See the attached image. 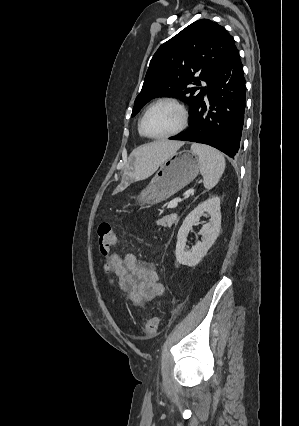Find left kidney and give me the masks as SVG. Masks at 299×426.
<instances>
[{"mask_svg": "<svg viewBox=\"0 0 299 426\" xmlns=\"http://www.w3.org/2000/svg\"><path fill=\"white\" fill-rule=\"evenodd\" d=\"M207 213L210 222L203 225L200 235L202 241L198 242L190 251L186 249L187 237L192 226L200 221V217ZM221 228L220 198L211 197L198 204L185 218L178 235L175 255L178 263L189 267L196 266L207 254L208 250L217 239Z\"/></svg>", "mask_w": 299, "mask_h": 426, "instance_id": "5707ae66", "label": "left kidney"}]
</instances>
